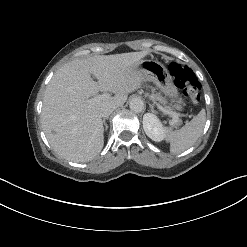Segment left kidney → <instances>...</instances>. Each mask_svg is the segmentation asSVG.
<instances>
[{"label":"left kidney","mask_w":247,"mask_h":247,"mask_svg":"<svg viewBox=\"0 0 247 247\" xmlns=\"http://www.w3.org/2000/svg\"><path fill=\"white\" fill-rule=\"evenodd\" d=\"M143 128L146 135L153 141L160 142L165 138V129L161 122L152 113H146L143 117Z\"/></svg>","instance_id":"obj_1"}]
</instances>
